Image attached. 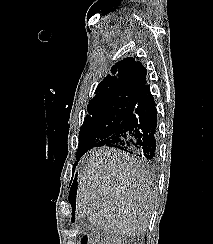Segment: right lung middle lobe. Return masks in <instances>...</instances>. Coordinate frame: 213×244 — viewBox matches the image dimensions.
<instances>
[{"label": "right lung middle lobe", "mask_w": 213, "mask_h": 244, "mask_svg": "<svg viewBox=\"0 0 213 244\" xmlns=\"http://www.w3.org/2000/svg\"><path fill=\"white\" fill-rule=\"evenodd\" d=\"M136 96L116 95L89 102L88 115L79 133L77 155L85 153L94 145L113 135L120 123L129 115Z\"/></svg>", "instance_id": "right-lung-middle-lobe-1"}]
</instances>
